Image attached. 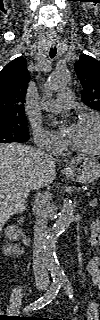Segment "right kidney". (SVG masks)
I'll list each match as a JSON object with an SVG mask.
<instances>
[{
    "label": "right kidney",
    "instance_id": "obj_1",
    "mask_svg": "<svg viewBox=\"0 0 100 320\" xmlns=\"http://www.w3.org/2000/svg\"><path fill=\"white\" fill-rule=\"evenodd\" d=\"M24 233L22 230H20L16 225H10L5 230V237L10 240H17L20 236H22ZM9 252H12L14 249L11 247L7 248Z\"/></svg>",
    "mask_w": 100,
    "mask_h": 320
}]
</instances>
